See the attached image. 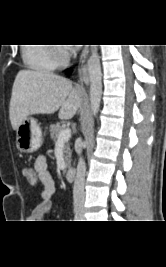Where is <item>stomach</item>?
<instances>
[{
    "mask_svg": "<svg viewBox=\"0 0 166 267\" xmlns=\"http://www.w3.org/2000/svg\"><path fill=\"white\" fill-rule=\"evenodd\" d=\"M17 148L24 153L37 151L42 145V131L33 118H26L16 130Z\"/></svg>",
    "mask_w": 166,
    "mask_h": 267,
    "instance_id": "1",
    "label": "stomach"
}]
</instances>
